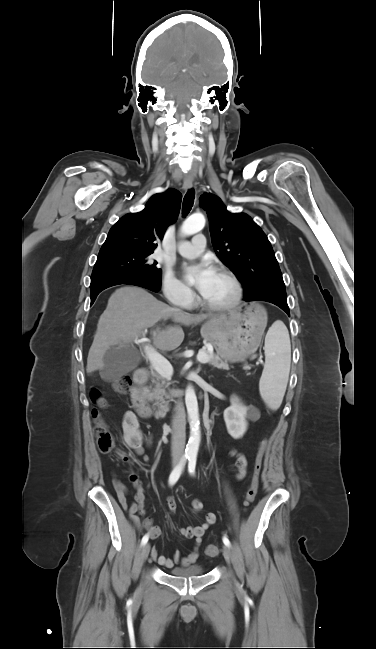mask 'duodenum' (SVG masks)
I'll return each instance as SVG.
<instances>
[{
	"label": "duodenum",
	"mask_w": 376,
	"mask_h": 649,
	"mask_svg": "<svg viewBox=\"0 0 376 649\" xmlns=\"http://www.w3.org/2000/svg\"><path fill=\"white\" fill-rule=\"evenodd\" d=\"M148 371L145 368L137 369L133 376V387L130 392L131 400L137 411L143 415L148 416L151 414V409L145 405L142 396V386L146 383ZM184 395V391L177 389L173 392L172 397L180 399ZM164 413V410H160Z\"/></svg>",
	"instance_id": "410a0bca"
}]
</instances>
